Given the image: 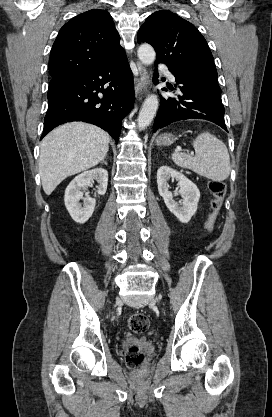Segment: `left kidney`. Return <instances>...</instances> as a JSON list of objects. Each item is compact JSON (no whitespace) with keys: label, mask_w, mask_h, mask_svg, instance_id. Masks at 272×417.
I'll return each instance as SVG.
<instances>
[{"label":"left kidney","mask_w":272,"mask_h":417,"mask_svg":"<svg viewBox=\"0 0 272 417\" xmlns=\"http://www.w3.org/2000/svg\"><path fill=\"white\" fill-rule=\"evenodd\" d=\"M178 182L179 191L176 195H181L183 200L178 204L173 199L172 192L169 191L168 180ZM157 185L160 196L164 199L165 205L171 213L182 223H188L197 211V205L200 199V191L197 186L182 173L168 167L161 166L157 171Z\"/></svg>","instance_id":"1"}]
</instances>
